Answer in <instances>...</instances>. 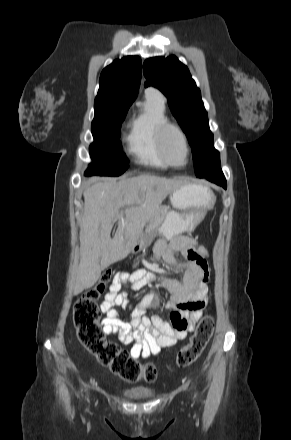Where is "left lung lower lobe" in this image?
<instances>
[{
  "label": "left lung lower lobe",
  "mask_w": 291,
  "mask_h": 440,
  "mask_svg": "<svg viewBox=\"0 0 291 440\" xmlns=\"http://www.w3.org/2000/svg\"><path fill=\"white\" fill-rule=\"evenodd\" d=\"M202 178H206L207 180L214 182L217 185H220L225 189L227 188L226 179L223 175L221 167L211 173L204 175Z\"/></svg>",
  "instance_id": "1"
}]
</instances>
